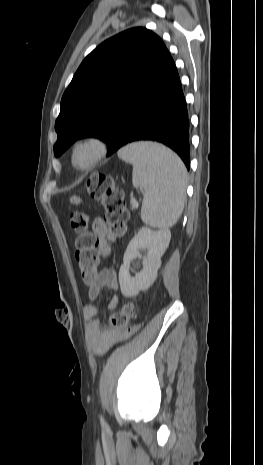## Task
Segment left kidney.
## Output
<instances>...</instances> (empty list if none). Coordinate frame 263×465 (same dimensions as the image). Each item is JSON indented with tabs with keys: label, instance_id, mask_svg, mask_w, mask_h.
I'll use <instances>...</instances> for the list:
<instances>
[{
	"label": "left kidney",
	"instance_id": "left-kidney-1",
	"mask_svg": "<svg viewBox=\"0 0 263 465\" xmlns=\"http://www.w3.org/2000/svg\"><path fill=\"white\" fill-rule=\"evenodd\" d=\"M170 238L169 230L155 231L142 227L129 242L119 270L120 289L125 297L136 296L140 291L149 289L154 283L161 266V257L169 245ZM140 249L147 250V255L142 261L143 268L135 277H131L130 264L134 259L141 258Z\"/></svg>",
	"mask_w": 263,
	"mask_h": 465
}]
</instances>
